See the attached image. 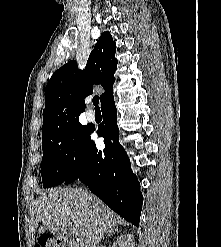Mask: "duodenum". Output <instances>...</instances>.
<instances>
[{
	"label": "duodenum",
	"mask_w": 221,
	"mask_h": 247,
	"mask_svg": "<svg viewBox=\"0 0 221 247\" xmlns=\"http://www.w3.org/2000/svg\"><path fill=\"white\" fill-rule=\"evenodd\" d=\"M60 239V244L63 246V247H75V245L71 242H68L66 239H63L62 237H58Z\"/></svg>",
	"instance_id": "duodenum-1"
}]
</instances>
